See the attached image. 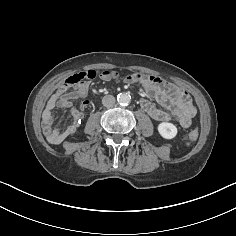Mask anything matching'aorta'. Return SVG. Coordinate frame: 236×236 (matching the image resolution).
<instances>
[{"label": "aorta", "instance_id": "1", "mask_svg": "<svg viewBox=\"0 0 236 236\" xmlns=\"http://www.w3.org/2000/svg\"><path fill=\"white\" fill-rule=\"evenodd\" d=\"M117 101L120 105H128L131 102V96L129 93H120L117 96Z\"/></svg>", "mask_w": 236, "mask_h": 236}]
</instances>
